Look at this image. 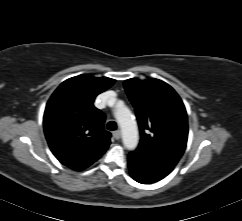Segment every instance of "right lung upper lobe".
Listing matches in <instances>:
<instances>
[{
	"instance_id": "right-lung-upper-lobe-1",
	"label": "right lung upper lobe",
	"mask_w": 242,
	"mask_h": 221,
	"mask_svg": "<svg viewBox=\"0 0 242 221\" xmlns=\"http://www.w3.org/2000/svg\"><path fill=\"white\" fill-rule=\"evenodd\" d=\"M114 82L82 74L67 79L52 94L43 125L49 147L62 164L80 171L107 150L111 134L104 129V113L93 102Z\"/></svg>"
}]
</instances>
